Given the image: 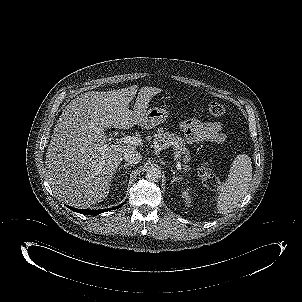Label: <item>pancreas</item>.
<instances>
[{"instance_id":"1","label":"pancreas","mask_w":302,"mask_h":302,"mask_svg":"<svg viewBox=\"0 0 302 302\" xmlns=\"http://www.w3.org/2000/svg\"><path fill=\"white\" fill-rule=\"evenodd\" d=\"M154 139L162 145L173 146L176 150V153L183 156V162L187 164L190 161V153L187 148L186 142L183 138L179 137L176 134L165 132L163 128L157 130V134L154 135ZM184 168L189 170L188 165H184Z\"/></svg>"}]
</instances>
